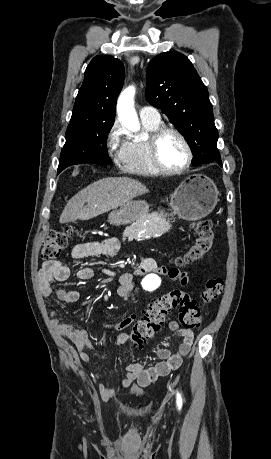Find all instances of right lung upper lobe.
I'll list each match as a JSON object with an SVG mask.
<instances>
[{"label": "right lung upper lobe", "mask_w": 271, "mask_h": 459, "mask_svg": "<svg viewBox=\"0 0 271 459\" xmlns=\"http://www.w3.org/2000/svg\"><path fill=\"white\" fill-rule=\"evenodd\" d=\"M124 65L109 55L92 59L85 71L72 117L101 116L115 118L117 97L124 82Z\"/></svg>", "instance_id": "obj_1"}]
</instances>
